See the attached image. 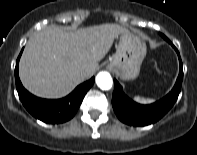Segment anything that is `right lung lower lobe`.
Segmentation results:
<instances>
[{
	"label": "right lung lower lobe",
	"instance_id": "1",
	"mask_svg": "<svg viewBox=\"0 0 197 155\" xmlns=\"http://www.w3.org/2000/svg\"><path fill=\"white\" fill-rule=\"evenodd\" d=\"M21 53L16 62L15 82L19 98L24 107L35 118L45 123L58 124L70 120L77 112L85 94L92 87L94 77L76 87L72 93L64 98L57 100L38 98L29 93L20 82L18 75V64Z\"/></svg>",
	"mask_w": 197,
	"mask_h": 155
}]
</instances>
